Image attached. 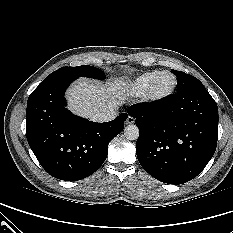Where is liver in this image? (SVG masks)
<instances>
[{
    "mask_svg": "<svg viewBox=\"0 0 233 233\" xmlns=\"http://www.w3.org/2000/svg\"><path fill=\"white\" fill-rule=\"evenodd\" d=\"M126 82L121 79L105 84L79 79L67 91L69 109L85 118L117 109L126 99Z\"/></svg>",
    "mask_w": 233,
    "mask_h": 233,
    "instance_id": "obj_1",
    "label": "liver"
}]
</instances>
